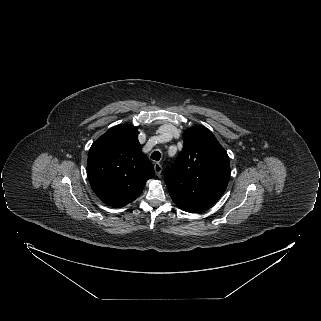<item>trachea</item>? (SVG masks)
I'll use <instances>...</instances> for the list:
<instances>
[{
	"label": "trachea",
	"mask_w": 321,
	"mask_h": 321,
	"mask_svg": "<svg viewBox=\"0 0 321 321\" xmlns=\"http://www.w3.org/2000/svg\"><path fill=\"white\" fill-rule=\"evenodd\" d=\"M161 158V153L159 151H154L151 154V159L155 160V161H159Z\"/></svg>",
	"instance_id": "3493384b"
}]
</instances>
